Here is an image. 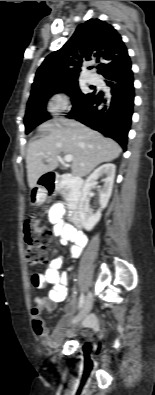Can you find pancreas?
<instances>
[{
  "mask_svg": "<svg viewBox=\"0 0 155 395\" xmlns=\"http://www.w3.org/2000/svg\"><path fill=\"white\" fill-rule=\"evenodd\" d=\"M60 194H61L63 197H66V196H67V190H66V189H62V190L60 191Z\"/></svg>",
  "mask_w": 155,
  "mask_h": 395,
  "instance_id": "pancreas-1",
  "label": "pancreas"
}]
</instances>
